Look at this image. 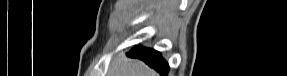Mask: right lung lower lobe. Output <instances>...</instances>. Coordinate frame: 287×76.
I'll list each match as a JSON object with an SVG mask.
<instances>
[{
  "label": "right lung lower lobe",
  "instance_id": "right-lung-lower-lobe-1",
  "mask_svg": "<svg viewBox=\"0 0 287 76\" xmlns=\"http://www.w3.org/2000/svg\"><path fill=\"white\" fill-rule=\"evenodd\" d=\"M133 58L143 60L150 67L157 70L161 76H166L169 70L168 64L161 57V54L149 48H142L141 46L134 47L128 54Z\"/></svg>",
  "mask_w": 287,
  "mask_h": 76
}]
</instances>
